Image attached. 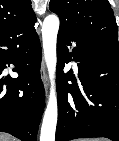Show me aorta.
<instances>
[{
    "label": "aorta",
    "instance_id": "aorta-1",
    "mask_svg": "<svg viewBox=\"0 0 119 141\" xmlns=\"http://www.w3.org/2000/svg\"><path fill=\"white\" fill-rule=\"evenodd\" d=\"M59 18L56 15H49L44 19L42 27V40L44 57L47 64L51 81L49 101L44 113L40 141H55V130L57 124V96L55 88L56 72V42L59 30Z\"/></svg>",
    "mask_w": 119,
    "mask_h": 141
}]
</instances>
